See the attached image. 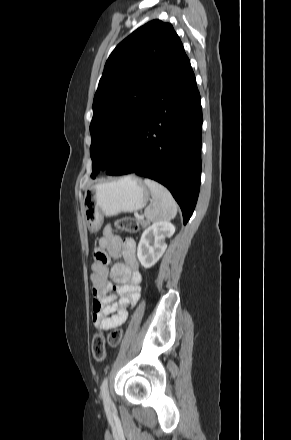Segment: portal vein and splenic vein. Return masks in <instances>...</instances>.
<instances>
[{"label":"portal vein and splenic vein","mask_w":291,"mask_h":440,"mask_svg":"<svg viewBox=\"0 0 291 440\" xmlns=\"http://www.w3.org/2000/svg\"><path fill=\"white\" fill-rule=\"evenodd\" d=\"M135 217H136L137 219H143V216H141V215H139V214H135Z\"/></svg>","instance_id":"obj_1"}]
</instances>
